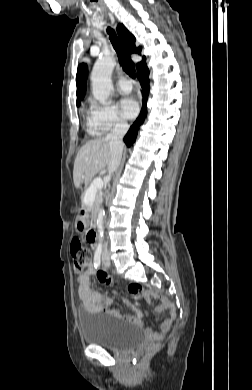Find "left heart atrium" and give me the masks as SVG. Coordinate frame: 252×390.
Instances as JSON below:
<instances>
[{
    "label": "left heart atrium",
    "mask_w": 252,
    "mask_h": 390,
    "mask_svg": "<svg viewBox=\"0 0 252 390\" xmlns=\"http://www.w3.org/2000/svg\"><path fill=\"white\" fill-rule=\"evenodd\" d=\"M120 108L122 114L128 119L134 118L139 111L138 103L131 97L123 98L120 102Z\"/></svg>",
    "instance_id": "1"
}]
</instances>
